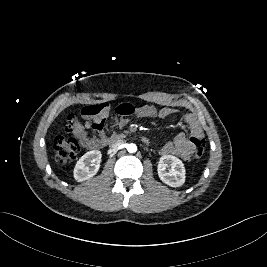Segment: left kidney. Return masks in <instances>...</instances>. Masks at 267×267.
I'll use <instances>...</instances> for the list:
<instances>
[{
    "mask_svg": "<svg viewBox=\"0 0 267 267\" xmlns=\"http://www.w3.org/2000/svg\"><path fill=\"white\" fill-rule=\"evenodd\" d=\"M168 166L171 168L167 172ZM185 172L184 164L179 158L172 155H164L160 158L158 175L163 183L171 187L182 186L185 183Z\"/></svg>",
    "mask_w": 267,
    "mask_h": 267,
    "instance_id": "5707ae66",
    "label": "left kidney"
}]
</instances>
